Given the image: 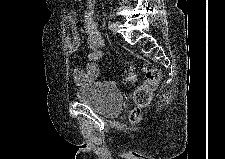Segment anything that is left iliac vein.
I'll use <instances>...</instances> for the list:
<instances>
[{
	"label": "left iliac vein",
	"instance_id": "4c4485c4",
	"mask_svg": "<svg viewBox=\"0 0 225 159\" xmlns=\"http://www.w3.org/2000/svg\"><path fill=\"white\" fill-rule=\"evenodd\" d=\"M118 26H119V22H114L113 23V27L111 28L113 33H116Z\"/></svg>",
	"mask_w": 225,
	"mask_h": 159
}]
</instances>
